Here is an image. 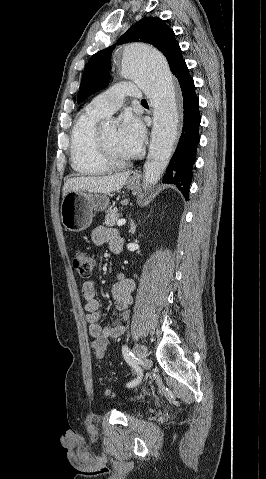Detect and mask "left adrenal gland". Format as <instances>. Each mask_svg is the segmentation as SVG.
I'll return each mask as SVG.
<instances>
[{
  "instance_id": "obj_1",
  "label": "left adrenal gland",
  "mask_w": 266,
  "mask_h": 479,
  "mask_svg": "<svg viewBox=\"0 0 266 479\" xmlns=\"http://www.w3.org/2000/svg\"><path fill=\"white\" fill-rule=\"evenodd\" d=\"M130 225H131V227H130V231H129V232H130L131 234H134L135 231H136V229H137V225L134 223L133 220L131 221V224H130Z\"/></svg>"
}]
</instances>
